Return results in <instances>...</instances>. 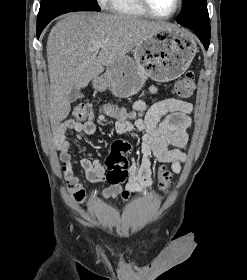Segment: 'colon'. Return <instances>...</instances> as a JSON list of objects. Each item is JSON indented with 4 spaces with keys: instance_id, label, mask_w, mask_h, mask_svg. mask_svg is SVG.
I'll return each instance as SVG.
<instances>
[{
    "instance_id": "colon-1",
    "label": "colon",
    "mask_w": 247,
    "mask_h": 280,
    "mask_svg": "<svg viewBox=\"0 0 247 280\" xmlns=\"http://www.w3.org/2000/svg\"><path fill=\"white\" fill-rule=\"evenodd\" d=\"M195 90L194 75L187 72L176 84L175 93L183 98L189 97ZM104 111L111 117L122 120H133L135 114L128 112L124 108L115 105H106ZM94 116L90 103L77 104L73 109V119L76 121L91 120ZM132 153V145L126 141L118 140L112 144L111 152L105 160L107 170L106 180L109 182L110 191H118L123 186V182L128 178L129 161L127 155ZM160 188L165 190L170 181L171 175L163 166L158 173Z\"/></svg>"
}]
</instances>
